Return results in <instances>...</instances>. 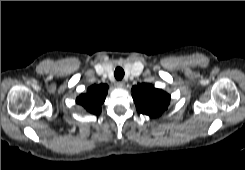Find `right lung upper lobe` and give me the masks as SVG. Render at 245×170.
<instances>
[{
  "label": "right lung upper lobe",
  "mask_w": 245,
  "mask_h": 170,
  "mask_svg": "<svg viewBox=\"0 0 245 170\" xmlns=\"http://www.w3.org/2000/svg\"><path fill=\"white\" fill-rule=\"evenodd\" d=\"M107 91L108 86L106 84L93 85L87 89V93L77 97L76 103L83 106L91 114H99Z\"/></svg>",
  "instance_id": "1"
}]
</instances>
